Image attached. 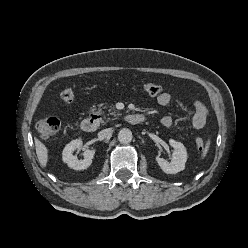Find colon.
Here are the masks:
<instances>
[{
	"mask_svg": "<svg viewBox=\"0 0 248 248\" xmlns=\"http://www.w3.org/2000/svg\"><path fill=\"white\" fill-rule=\"evenodd\" d=\"M143 90L148 95L157 96L162 93L163 88L161 85L155 83H146L143 85ZM61 98L63 101L70 103L75 100L76 93L73 89L67 88L62 91ZM60 125V120L56 117L43 118L37 123V131L41 138L48 140L58 133ZM195 144L199 150L205 148V141L200 137L196 139Z\"/></svg>",
	"mask_w": 248,
	"mask_h": 248,
	"instance_id": "obj_1",
	"label": "colon"
}]
</instances>
